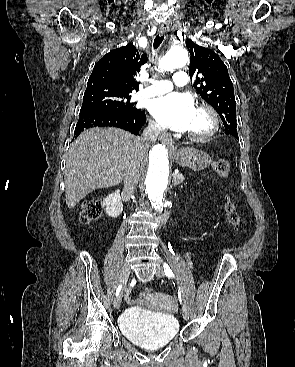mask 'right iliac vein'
Masks as SVG:
<instances>
[{
  "label": "right iliac vein",
  "mask_w": 295,
  "mask_h": 367,
  "mask_svg": "<svg viewBox=\"0 0 295 367\" xmlns=\"http://www.w3.org/2000/svg\"><path fill=\"white\" fill-rule=\"evenodd\" d=\"M129 273H130L129 264L125 263L120 278L121 285H124L127 282ZM121 302H122L121 295H118L117 298L114 300V308L118 309L121 306Z\"/></svg>",
  "instance_id": "63e3f726"
}]
</instances>
